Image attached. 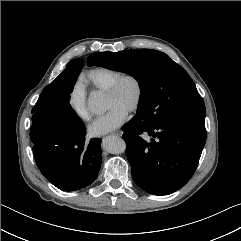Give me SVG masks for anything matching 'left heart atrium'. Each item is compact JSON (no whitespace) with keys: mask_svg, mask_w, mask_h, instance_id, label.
<instances>
[{"mask_svg":"<svg viewBox=\"0 0 241 241\" xmlns=\"http://www.w3.org/2000/svg\"><path fill=\"white\" fill-rule=\"evenodd\" d=\"M127 111L114 106L109 111L96 119L89 127V134L98 137L108 134L120 127L127 119Z\"/></svg>","mask_w":241,"mask_h":241,"instance_id":"1","label":"left heart atrium"}]
</instances>
